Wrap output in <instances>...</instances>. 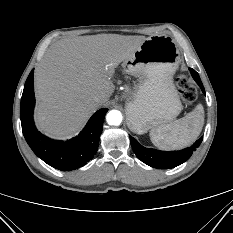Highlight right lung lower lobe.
Segmentation results:
<instances>
[{"mask_svg": "<svg viewBox=\"0 0 233 233\" xmlns=\"http://www.w3.org/2000/svg\"><path fill=\"white\" fill-rule=\"evenodd\" d=\"M34 69L30 72L21 97L20 118L23 135L33 152L48 165L71 171L84 166L98 150L103 119L107 108L97 111L88 121L83 131L68 141H54L37 131L33 122L35 104Z\"/></svg>", "mask_w": 233, "mask_h": 233, "instance_id": "right-lung-lower-lobe-1", "label": "right lung lower lobe"}]
</instances>
